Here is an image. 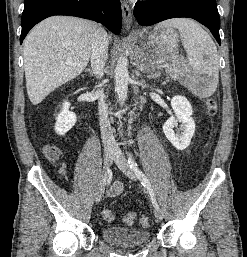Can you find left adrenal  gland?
Segmentation results:
<instances>
[{
	"label": "left adrenal gland",
	"mask_w": 247,
	"mask_h": 257,
	"mask_svg": "<svg viewBox=\"0 0 247 257\" xmlns=\"http://www.w3.org/2000/svg\"><path fill=\"white\" fill-rule=\"evenodd\" d=\"M160 76V72H156V73H153V72H150L148 75H147V78L149 79H156Z\"/></svg>",
	"instance_id": "left-adrenal-gland-1"
}]
</instances>
